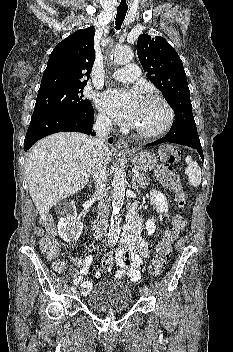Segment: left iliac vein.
<instances>
[{
    "mask_svg": "<svg viewBox=\"0 0 233 352\" xmlns=\"http://www.w3.org/2000/svg\"><path fill=\"white\" fill-rule=\"evenodd\" d=\"M141 295L143 296V297H147L148 296V292H146V291H144V290H142L141 292Z\"/></svg>",
    "mask_w": 233,
    "mask_h": 352,
    "instance_id": "4c4485c4",
    "label": "left iliac vein"
}]
</instances>
